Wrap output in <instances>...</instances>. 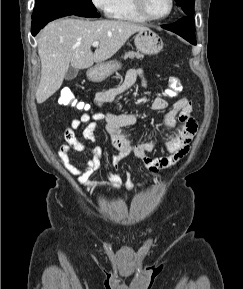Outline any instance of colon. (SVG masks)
<instances>
[{"label": "colon", "instance_id": "1", "mask_svg": "<svg viewBox=\"0 0 243 289\" xmlns=\"http://www.w3.org/2000/svg\"><path fill=\"white\" fill-rule=\"evenodd\" d=\"M182 90L181 81L176 77H170L168 80V87L165 91V95L168 97H176ZM59 103L64 106H75L78 109H88L89 106L78 102L73 91L69 88H63L60 91Z\"/></svg>", "mask_w": 243, "mask_h": 289}]
</instances>
